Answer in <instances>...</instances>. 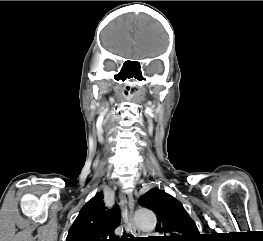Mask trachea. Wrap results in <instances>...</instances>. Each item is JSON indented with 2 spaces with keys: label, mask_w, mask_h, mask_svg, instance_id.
<instances>
[{
  "label": "trachea",
  "mask_w": 263,
  "mask_h": 241,
  "mask_svg": "<svg viewBox=\"0 0 263 241\" xmlns=\"http://www.w3.org/2000/svg\"><path fill=\"white\" fill-rule=\"evenodd\" d=\"M127 235L125 232L123 233L122 237L118 239L117 241H137V238H134V236Z\"/></svg>",
  "instance_id": "1"
}]
</instances>
